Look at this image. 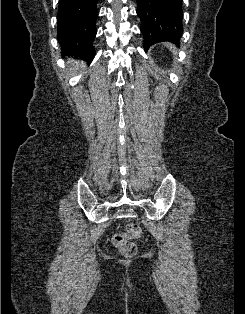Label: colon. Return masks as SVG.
<instances>
[{
  "instance_id": "5ec220e1",
  "label": "colon",
  "mask_w": 245,
  "mask_h": 314,
  "mask_svg": "<svg viewBox=\"0 0 245 314\" xmlns=\"http://www.w3.org/2000/svg\"><path fill=\"white\" fill-rule=\"evenodd\" d=\"M141 233L142 230L138 224L130 223L126 226L125 232L113 236L112 242L123 256L132 257L137 251L133 240L139 238Z\"/></svg>"
}]
</instances>
